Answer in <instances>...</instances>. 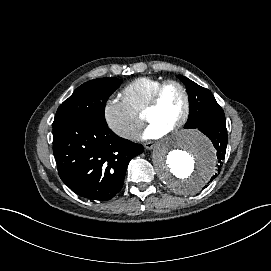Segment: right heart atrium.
<instances>
[{
    "mask_svg": "<svg viewBox=\"0 0 271 271\" xmlns=\"http://www.w3.org/2000/svg\"><path fill=\"white\" fill-rule=\"evenodd\" d=\"M102 114L106 125L127 141H132L144 124L142 116L133 112L126 100L117 95L105 99Z\"/></svg>",
    "mask_w": 271,
    "mask_h": 271,
    "instance_id": "1",
    "label": "right heart atrium"
}]
</instances>
